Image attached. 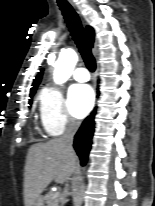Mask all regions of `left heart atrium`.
<instances>
[{
  "mask_svg": "<svg viewBox=\"0 0 155 206\" xmlns=\"http://www.w3.org/2000/svg\"><path fill=\"white\" fill-rule=\"evenodd\" d=\"M94 93L88 85H74L69 90V106L76 117L85 116L93 106Z\"/></svg>",
  "mask_w": 155,
  "mask_h": 206,
  "instance_id": "1",
  "label": "left heart atrium"
}]
</instances>
